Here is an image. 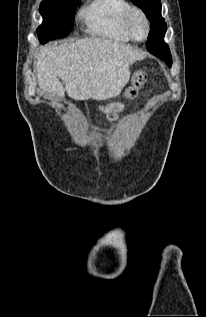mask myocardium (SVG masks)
<instances>
[{
    "label": "myocardium",
    "mask_w": 206,
    "mask_h": 317,
    "mask_svg": "<svg viewBox=\"0 0 206 317\" xmlns=\"http://www.w3.org/2000/svg\"><path fill=\"white\" fill-rule=\"evenodd\" d=\"M138 14L142 17L145 26H146V34L142 39L136 38L134 36V34L132 33V30L130 28V22L131 19L133 17V15ZM122 27L124 32L126 33V35L133 41L136 42H143L145 41L149 34H150V21L149 18L147 16V14L145 13V11L143 9H141L140 7H132L130 9L127 10V12L125 13L123 20H122Z\"/></svg>",
    "instance_id": "1"
}]
</instances>
